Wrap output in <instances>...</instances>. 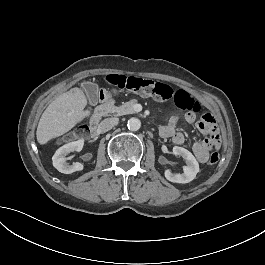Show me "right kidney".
<instances>
[{
    "label": "right kidney",
    "instance_id": "1",
    "mask_svg": "<svg viewBox=\"0 0 265 265\" xmlns=\"http://www.w3.org/2000/svg\"><path fill=\"white\" fill-rule=\"evenodd\" d=\"M84 145V139H80L77 141L70 142L68 144L63 145L52 157L53 166L61 173L71 174L76 171L83 170V164L76 162L70 165L67 163L66 156L73 151H81Z\"/></svg>",
    "mask_w": 265,
    "mask_h": 265
}]
</instances>
